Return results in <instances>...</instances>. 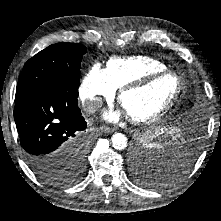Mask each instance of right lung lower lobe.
Segmentation results:
<instances>
[{"label": "right lung lower lobe", "mask_w": 221, "mask_h": 221, "mask_svg": "<svg viewBox=\"0 0 221 221\" xmlns=\"http://www.w3.org/2000/svg\"><path fill=\"white\" fill-rule=\"evenodd\" d=\"M77 98L78 92L46 88L15 100L14 120L21 146L35 173L43 165L64 168L76 149L86 145L87 125Z\"/></svg>", "instance_id": "98d812e1"}]
</instances>
